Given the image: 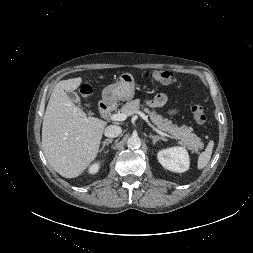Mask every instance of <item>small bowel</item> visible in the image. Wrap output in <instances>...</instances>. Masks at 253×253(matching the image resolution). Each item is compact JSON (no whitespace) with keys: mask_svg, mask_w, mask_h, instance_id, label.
I'll return each mask as SVG.
<instances>
[{"mask_svg":"<svg viewBox=\"0 0 253 253\" xmlns=\"http://www.w3.org/2000/svg\"><path fill=\"white\" fill-rule=\"evenodd\" d=\"M167 102V96L163 93L157 94L152 100H149L147 104L151 108H160Z\"/></svg>","mask_w":253,"mask_h":253,"instance_id":"c3829d8e","label":"small bowel"}]
</instances>
